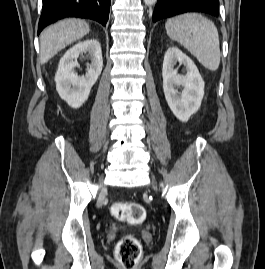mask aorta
I'll list each match as a JSON object with an SVG mask.
<instances>
[{
	"mask_svg": "<svg viewBox=\"0 0 265 269\" xmlns=\"http://www.w3.org/2000/svg\"><path fill=\"white\" fill-rule=\"evenodd\" d=\"M144 2L147 6H151L154 5L157 2V0H144Z\"/></svg>",
	"mask_w": 265,
	"mask_h": 269,
	"instance_id": "aorta-1",
	"label": "aorta"
}]
</instances>
